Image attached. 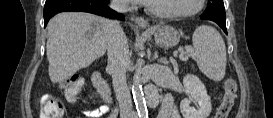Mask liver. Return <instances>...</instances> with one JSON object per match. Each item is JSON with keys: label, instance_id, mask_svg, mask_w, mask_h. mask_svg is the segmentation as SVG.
Listing matches in <instances>:
<instances>
[{"label": "liver", "instance_id": "6515ba94", "mask_svg": "<svg viewBox=\"0 0 273 118\" xmlns=\"http://www.w3.org/2000/svg\"><path fill=\"white\" fill-rule=\"evenodd\" d=\"M110 20L85 12H62L48 23V72L61 82L103 56Z\"/></svg>", "mask_w": 273, "mask_h": 118}]
</instances>
